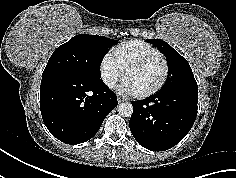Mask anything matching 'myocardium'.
Returning <instances> with one entry per match:
<instances>
[{"instance_id": "obj_1", "label": "myocardium", "mask_w": 236, "mask_h": 178, "mask_svg": "<svg viewBox=\"0 0 236 178\" xmlns=\"http://www.w3.org/2000/svg\"><path fill=\"white\" fill-rule=\"evenodd\" d=\"M155 60H161L163 62L164 73L162 75V78L155 87H153L145 92H142V93H136L135 95L139 98L149 97V96L157 93L158 91H160L162 89V87L165 85V83L168 79V76H169V72H170V66H169L167 59L161 54L160 55H152V56L145 57L143 59L132 61L124 69V78H125V76L127 75V73L130 70L144 66V65H146L152 61H155Z\"/></svg>"}]
</instances>
